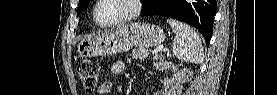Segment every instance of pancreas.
I'll list each match as a JSON object with an SVG mask.
<instances>
[{"mask_svg": "<svg viewBox=\"0 0 277 95\" xmlns=\"http://www.w3.org/2000/svg\"><path fill=\"white\" fill-rule=\"evenodd\" d=\"M150 54V50L146 47H139L136 48L132 51V58H140V59H144L146 58L148 55ZM163 59L164 58V54L162 53H157L155 54V56L153 57L154 60H158V59Z\"/></svg>", "mask_w": 277, "mask_h": 95, "instance_id": "obj_1", "label": "pancreas"}]
</instances>
